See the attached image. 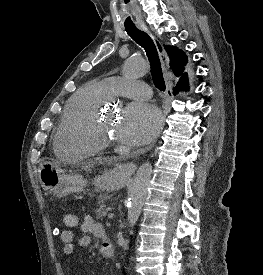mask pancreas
<instances>
[{"instance_id": "1", "label": "pancreas", "mask_w": 263, "mask_h": 275, "mask_svg": "<svg viewBox=\"0 0 263 275\" xmlns=\"http://www.w3.org/2000/svg\"><path fill=\"white\" fill-rule=\"evenodd\" d=\"M107 199L108 198L106 196L98 197V204H99L100 208L97 209L95 212L98 219H102L103 217H105L107 215L106 205L104 204L107 201Z\"/></svg>"}]
</instances>
